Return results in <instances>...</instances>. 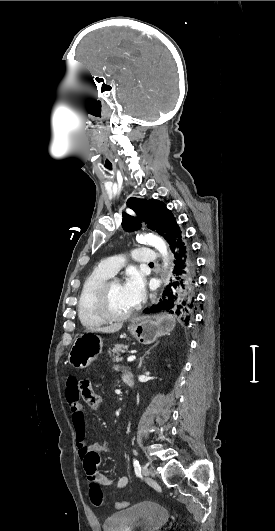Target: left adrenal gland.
I'll list each match as a JSON object with an SVG mask.
<instances>
[{
    "instance_id": "1",
    "label": "left adrenal gland",
    "mask_w": 275,
    "mask_h": 531,
    "mask_svg": "<svg viewBox=\"0 0 275 531\" xmlns=\"http://www.w3.org/2000/svg\"><path fill=\"white\" fill-rule=\"evenodd\" d=\"M156 345H158V341H157V343H155V345H153V347H156ZM153 347H150L149 351H146V355H149V353H150L151 349H153ZM144 357H145V355H144ZM144 357H140L138 369H140V367H141V365L143 363Z\"/></svg>"
}]
</instances>
